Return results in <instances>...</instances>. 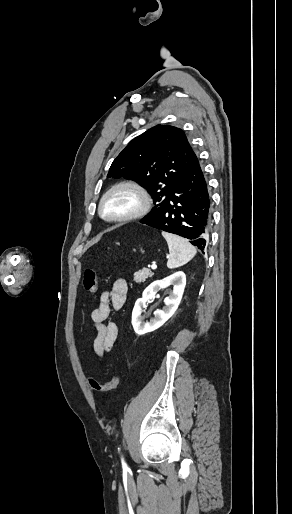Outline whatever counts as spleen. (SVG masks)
I'll return each instance as SVG.
<instances>
[{
  "label": "spleen",
  "instance_id": "spleen-1",
  "mask_svg": "<svg viewBox=\"0 0 292 514\" xmlns=\"http://www.w3.org/2000/svg\"><path fill=\"white\" fill-rule=\"evenodd\" d=\"M162 236L165 238L169 248L167 268H170V270L184 266V264H187L196 256V248L191 246L185 238H180V236H175V234H167V232H162Z\"/></svg>",
  "mask_w": 292,
  "mask_h": 514
}]
</instances>
